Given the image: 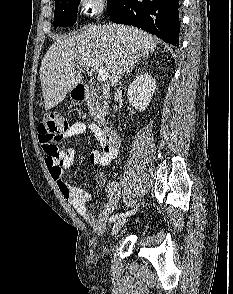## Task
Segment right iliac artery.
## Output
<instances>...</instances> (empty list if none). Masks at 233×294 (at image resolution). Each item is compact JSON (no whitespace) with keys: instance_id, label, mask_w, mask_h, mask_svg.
<instances>
[{"instance_id":"82829eb1","label":"right iliac artery","mask_w":233,"mask_h":294,"mask_svg":"<svg viewBox=\"0 0 233 294\" xmlns=\"http://www.w3.org/2000/svg\"><path fill=\"white\" fill-rule=\"evenodd\" d=\"M136 210H137V208H136ZM136 210L134 209V210H131V211H128V212H125V213L116 214V215H114V216H112V217L110 218V222H113V221L119 220V219L124 218V217H126V216H129V215H131V214H134Z\"/></svg>"}]
</instances>
